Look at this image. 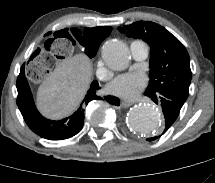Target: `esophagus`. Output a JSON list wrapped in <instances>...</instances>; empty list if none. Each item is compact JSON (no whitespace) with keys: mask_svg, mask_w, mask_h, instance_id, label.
<instances>
[{"mask_svg":"<svg viewBox=\"0 0 215 183\" xmlns=\"http://www.w3.org/2000/svg\"><path fill=\"white\" fill-rule=\"evenodd\" d=\"M133 104H134V102H132V101H121V103H120L121 107H123V108L130 107Z\"/></svg>","mask_w":215,"mask_h":183,"instance_id":"obj_1","label":"esophagus"}]
</instances>
